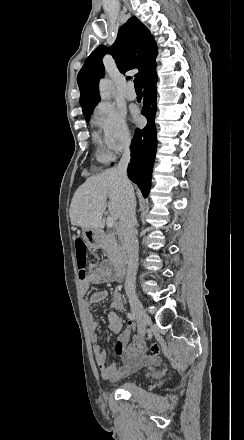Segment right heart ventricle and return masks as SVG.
<instances>
[{
	"instance_id": "e07e8e85",
	"label": "right heart ventricle",
	"mask_w": 244,
	"mask_h": 440,
	"mask_svg": "<svg viewBox=\"0 0 244 440\" xmlns=\"http://www.w3.org/2000/svg\"><path fill=\"white\" fill-rule=\"evenodd\" d=\"M93 139H94V142L96 144H102V138H101V135L99 133L94 132L93 133Z\"/></svg>"
}]
</instances>
